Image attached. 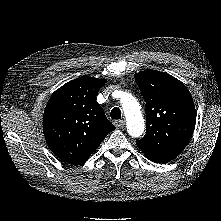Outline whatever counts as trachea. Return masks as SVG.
I'll return each instance as SVG.
<instances>
[{"mask_svg":"<svg viewBox=\"0 0 221 221\" xmlns=\"http://www.w3.org/2000/svg\"><path fill=\"white\" fill-rule=\"evenodd\" d=\"M111 118L112 119H120L121 118V110L117 107L111 110Z\"/></svg>","mask_w":221,"mask_h":221,"instance_id":"3493384b","label":"trachea"}]
</instances>
